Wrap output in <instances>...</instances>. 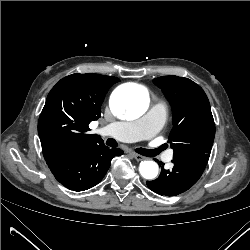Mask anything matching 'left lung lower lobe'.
<instances>
[{"label":"left lung lower lobe","mask_w":250,"mask_h":250,"mask_svg":"<svg viewBox=\"0 0 250 250\" xmlns=\"http://www.w3.org/2000/svg\"><path fill=\"white\" fill-rule=\"evenodd\" d=\"M210 155L194 154L174 158L172 170L162 166L161 174L153 181H147V186L159 195L175 196L192 187L201 177ZM159 162V161H158ZM163 165L162 162H159Z\"/></svg>","instance_id":"0a47b994"}]
</instances>
